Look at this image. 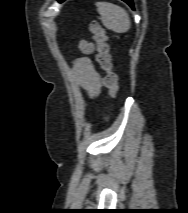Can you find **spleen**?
<instances>
[{
	"instance_id": "spleen-1",
	"label": "spleen",
	"mask_w": 188,
	"mask_h": 213,
	"mask_svg": "<svg viewBox=\"0 0 188 213\" xmlns=\"http://www.w3.org/2000/svg\"><path fill=\"white\" fill-rule=\"evenodd\" d=\"M96 6L107 29L117 33H125L130 29V18L125 9L108 2H97Z\"/></svg>"
}]
</instances>
